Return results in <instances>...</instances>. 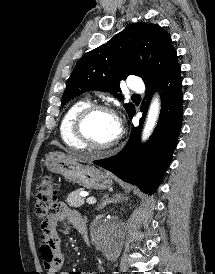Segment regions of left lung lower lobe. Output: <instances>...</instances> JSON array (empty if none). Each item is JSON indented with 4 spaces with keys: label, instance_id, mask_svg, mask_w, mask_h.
Returning a JSON list of instances; mask_svg holds the SVG:
<instances>
[{
    "label": "left lung lower lobe",
    "instance_id": "0a47b994",
    "mask_svg": "<svg viewBox=\"0 0 215 274\" xmlns=\"http://www.w3.org/2000/svg\"><path fill=\"white\" fill-rule=\"evenodd\" d=\"M181 83L180 66H177L160 80L146 84L145 101L141 106L143 118L139 126L132 129L127 145L117 155L93 162L138 186L143 192L153 194L177 145L183 116ZM155 89L160 91L162 109L150 141L142 145L141 128ZM134 114L135 110L129 117L132 118Z\"/></svg>",
    "mask_w": 215,
    "mask_h": 274
}]
</instances>
